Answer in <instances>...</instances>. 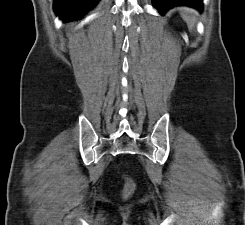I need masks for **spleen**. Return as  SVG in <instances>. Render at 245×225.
I'll return each mask as SVG.
<instances>
[{
    "label": "spleen",
    "instance_id": "3e777b00",
    "mask_svg": "<svg viewBox=\"0 0 245 225\" xmlns=\"http://www.w3.org/2000/svg\"><path fill=\"white\" fill-rule=\"evenodd\" d=\"M180 15L183 18V20L187 23L189 30L192 31L197 22L198 13L193 9L181 8Z\"/></svg>",
    "mask_w": 245,
    "mask_h": 225
}]
</instances>
